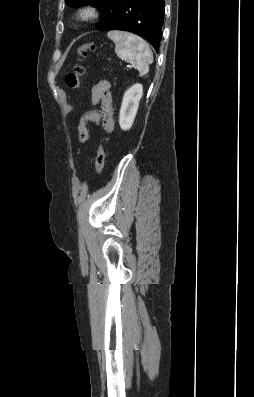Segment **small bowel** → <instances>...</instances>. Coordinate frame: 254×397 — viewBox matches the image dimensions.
<instances>
[{
	"label": "small bowel",
	"instance_id": "small-bowel-1",
	"mask_svg": "<svg viewBox=\"0 0 254 397\" xmlns=\"http://www.w3.org/2000/svg\"><path fill=\"white\" fill-rule=\"evenodd\" d=\"M91 100L93 105H100V110H91L82 116L78 126L79 138L82 142L89 139L87 128L89 122L101 124L107 132H111L114 128L110 83L104 80L95 84L92 88Z\"/></svg>",
	"mask_w": 254,
	"mask_h": 397
}]
</instances>
